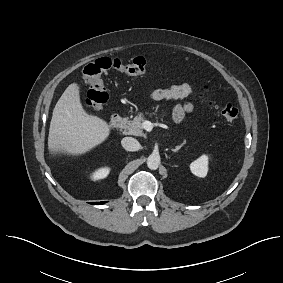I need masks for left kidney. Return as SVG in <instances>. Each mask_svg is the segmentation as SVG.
<instances>
[{
  "mask_svg": "<svg viewBox=\"0 0 283 283\" xmlns=\"http://www.w3.org/2000/svg\"><path fill=\"white\" fill-rule=\"evenodd\" d=\"M191 172L198 177H205L208 172V156L202 155L190 164Z\"/></svg>",
  "mask_w": 283,
  "mask_h": 283,
  "instance_id": "obj_1",
  "label": "left kidney"
}]
</instances>
